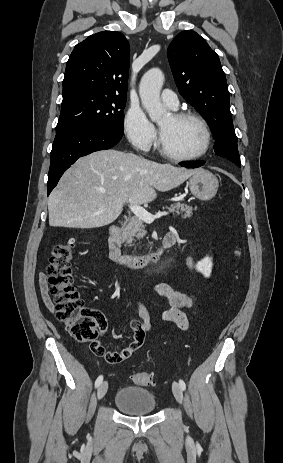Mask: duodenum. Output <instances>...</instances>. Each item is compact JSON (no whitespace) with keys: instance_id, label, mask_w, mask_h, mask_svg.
<instances>
[{"instance_id":"1","label":"duodenum","mask_w":283,"mask_h":463,"mask_svg":"<svg viewBox=\"0 0 283 463\" xmlns=\"http://www.w3.org/2000/svg\"><path fill=\"white\" fill-rule=\"evenodd\" d=\"M122 234L121 229L116 224L109 226V249L110 258L119 266L128 267L132 269H143L148 265H158L162 262L164 254L167 249L171 248L176 243V236L174 233H167L162 240L159 248L150 255L133 256L124 254L121 251Z\"/></svg>"}]
</instances>
